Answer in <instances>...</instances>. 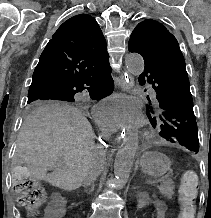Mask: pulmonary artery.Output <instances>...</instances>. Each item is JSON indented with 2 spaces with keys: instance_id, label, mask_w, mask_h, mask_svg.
I'll return each mask as SVG.
<instances>
[{
  "instance_id": "obj_1",
  "label": "pulmonary artery",
  "mask_w": 211,
  "mask_h": 218,
  "mask_svg": "<svg viewBox=\"0 0 211 218\" xmlns=\"http://www.w3.org/2000/svg\"><path fill=\"white\" fill-rule=\"evenodd\" d=\"M142 84H145V81H142ZM145 90L147 91L148 95H157L158 91L156 90V87L153 86V84H146Z\"/></svg>"
}]
</instances>
